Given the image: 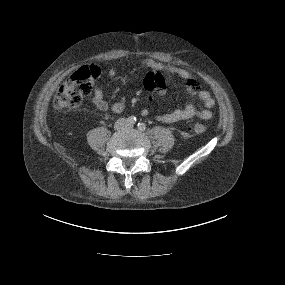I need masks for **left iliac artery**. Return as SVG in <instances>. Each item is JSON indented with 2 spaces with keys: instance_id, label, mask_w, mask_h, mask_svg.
I'll use <instances>...</instances> for the list:
<instances>
[{
  "instance_id": "obj_1",
  "label": "left iliac artery",
  "mask_w": 285,
  "mask_h": 285,
  "mask_svg": "<svg viewBox=\"0 0 285 285\" xmlns=\"http://www.w3.org/2000/svg\"><path fill=\"white\" fill-rule=\"evenodd\" d=\"M137 127L140 131H144L146 129V125L144 123H141V122L138 123Z\"/></svg>"
}]
</instances>
